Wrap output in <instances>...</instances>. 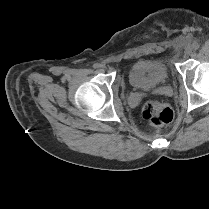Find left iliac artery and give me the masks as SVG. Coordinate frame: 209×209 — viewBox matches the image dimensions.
<instances>
[{"label": "left iliac artery", "instance_id": "obj_1", "mask_svg": "<svg viewBox=\"0 0 209 209\" xmlns=\"http://www.w3.org/2000/svg\"><path fill=\"white\" fill-rule=\"evenodd\" d=\"M194 50H197L199 48V44L197 42L193 43L192 45Z\"/></svg>", "mask_w": 209, "mask_h": 209}]
</instances>
